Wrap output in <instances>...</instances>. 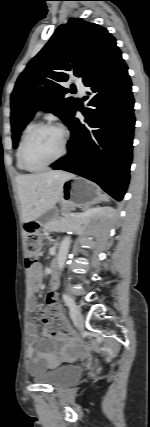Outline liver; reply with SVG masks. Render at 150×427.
I'll return each mask as SVG.
<instances>
[{
    "label": "liver",
    "mask_w": 150,
    "mask_h": 427,
    "mask_svg": "<svg viewBox=\"0 0 150 427\" xmlns=\"http://www.w3.org/2000/svg\"><path fill=\"white\" fill-rule=\"evenodd\" d=\"M73 175L63 171L20 175L16 178L23 222L36 220L60 200L63 184Z\"/></svg>",
    "instance_id": "1"
}]
</instances>
